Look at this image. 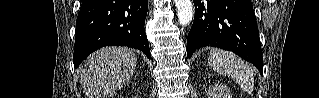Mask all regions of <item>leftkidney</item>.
Segmentation results:
<instances>
[{"label": "left kidney", "instance_id": "left-kidney-1", "mask_svg": "<svg viewBox=\"0 0 319 98\" xmlns=\"http://www.w3.org/2000/svg\"><path fill=\"white\" fill-rule=\"evenodd\" d=\"M207 98H232V94L227 86L214 84L209 86Z\"/></svg>", "mask_w": 319, "mask_h": 98}]
</instances>
